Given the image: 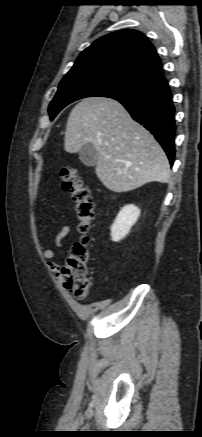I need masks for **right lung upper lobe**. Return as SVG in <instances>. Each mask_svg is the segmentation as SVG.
<instances>
[{
    "label": "right lung upper lobe",
    "mask_w": 202,
    "mask_h": 437,
    "mask_svg": "<svg viewBox=\"0 0 202 437\" xmlns=\"http://www.w3.org/2000/svg\"><path fill=\"white\" fill-rule=\"evenodd\" d=\"M112 71L154 83L162 77L160 58L139 31L125 29L107 34L86 48L69 72Z\"/></svg>",
    "instance_id": "1"
}]
</instances>
